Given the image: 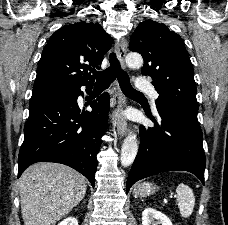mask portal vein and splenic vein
Returning a JSON list of instances; mask_svg holds the SVG:
<instances>
[{
    "instance_id": "obj_1",
    "label": "portal vein and splenic vein",
    "mask_w": 228,
    "mask_h": 225,
    "mask_svg": "<svg viewBox=\"0 0 228 225\" xmlns=\"http://www.w3.org/2000/svg\"><path fill=\"white\" fill-rule=\"evenodd\" d=\"M162 198H164V197H162ZM176 198H177L176 195H169V196H168V199H169V200H176ZM161 202H162V205H167V202H168V201H167V199H162Z\"/></svg>"
}]
</instances>
